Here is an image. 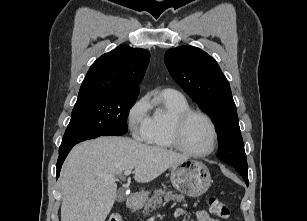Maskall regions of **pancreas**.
I'll return each mask as SVG.
<instances>
[{
  "label": "pancreas",
  "mask_w": 307,
  "mask_h": 221,
  "mask_svg": "<svg viewBox=\"0 0 307 221\" xmlns=\"http://www.w3.org/2000/svg\"><path fill=\"white\" fill-rule=\"evenodd\" d=\"M162 197H164V201L169 202L170 200H176L177 202L184 201L183 195H177L174 194L172 191H166V190H156L154 191L153 196L147 200L144 212L145 214L149 213V210H155V208L162 203Z\"/></svg>",
  "instance_id": "obj_1"
}]
</instances>
